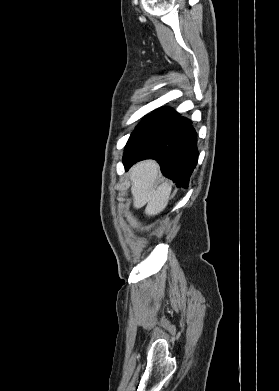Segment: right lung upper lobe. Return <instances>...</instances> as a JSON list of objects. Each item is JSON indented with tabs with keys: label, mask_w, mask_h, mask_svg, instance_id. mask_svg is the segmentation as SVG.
Segmentation results:
<instances>
[{
	"label": "right lung upper lobe",
	"mask_w": 279,
	"mask_h": 391,
	"mask_svg": "<svg viewBox=\"0 0 279 391\" xmlns=\"http://www.w3.org/2000/svg\"><path fill=\"white\" fill-rule=\"evenodd\" d=\"M165 109H166V108H161V109H158V110H162V111H163V110H165Z\"/></svg>",
	"instance_id": "1"
}]
</instances>
